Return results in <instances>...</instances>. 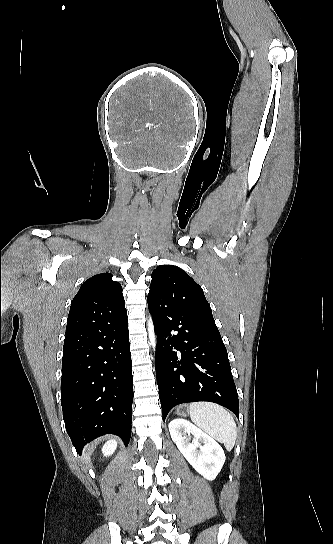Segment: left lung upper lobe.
<instances>
[{
  "label": "left lung upper lobe",
  "instance_id": "obj_1",
  "mask_svg": "<svg viewBox=\"0 0 333 544\" xmlns=\"http://www.w3.org/2000/svg\"><path fill=\"white\" fill-rule=\"evenodd\" d=\"M147 301L152 306L215 323L202 288L185 271L173 265H161L153 271Z\"/></svg>",
  "mask_w": 333,
  "mask_h": 544
}]
</instances>
